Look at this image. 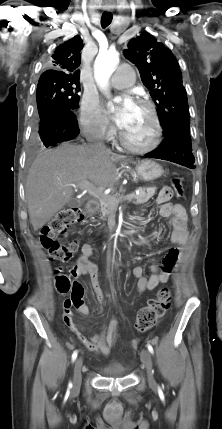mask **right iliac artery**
Segmentation results:
<instances>
[{"mask_svg": "<svg viewBox=\"0 0 222 429\" xmlns=\"http://www.w3.org/2000/svg\"><path fill=\"white\" fill-rule=\"evenodd\" d=\"M77 354H78V352H77V351H74V352H73V354H72V361H73V362H74V361H75V359L77 358ZM68 387H69V388H71V387H72V384H71V383H69Z\"/></svg>", "mask_w": 222, "mask_h": 429, "instance_id": "right-iliac-artery-1", "label": "right iliac artery"}]
</instances>
